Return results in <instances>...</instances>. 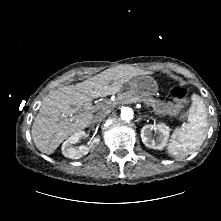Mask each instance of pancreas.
<instances>
[{
	"label": "pancreas",
	"instance_id": "pancreas-1",
	"mask_svg": "<svg viewBox=\"0 0 221 221\" xmlns=\"http://www.w3.org/2000/svg\"><path fill=\"white\" fill-rule=\"evenodd\" d=\"M121 97L124 98L126 101H132L137 99L138 101L144 102L147 106H155V104L158 102L155 99H153L151 96H135L131 93L122 95Z\"/></svg>",
	"mask_w": 221,
	"mask_h": 221
}]
</instances>
